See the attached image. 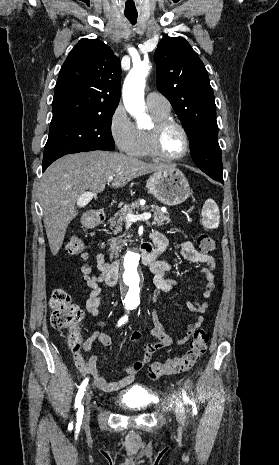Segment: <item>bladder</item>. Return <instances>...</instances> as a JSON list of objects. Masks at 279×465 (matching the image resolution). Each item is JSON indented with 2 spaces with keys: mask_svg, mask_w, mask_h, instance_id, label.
Returning <instances> with one entry per match:
<instances>
[{
  "mask_svg": "<svg viewBox=\"0 0 279 465\" xmlns=\"http://www.w3.org/2000/svg\"><path fill=\"white\" fill-rule=\"evenodd\" d=\"M120 404L130 410H143L150 404L148 391L141 386H133L119 396Z\"/></svg>",
  "mask_w": 279,
  "mask_h": 465,
  "instance_id": "obj_1",
  "label": "bladder"
}]
</instances>
